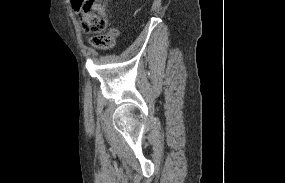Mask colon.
<instances>
[{"instance_id":"5ec220e1","label":"colon","mask_w":285,"mask_h":183,"mask_svg":"<svg viewBox=\"0 0 285 183\" xmlns=\"http://www.w3.org/2000/svg\"><path fill=\"white\" fill-rule=\"evenodd\" d=\"M73 5L80 16L84 32L96 34L92 44L102 50L114 45L115 29H108V0H73Z\"/></svg>"}]
</instances>
